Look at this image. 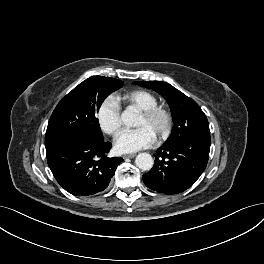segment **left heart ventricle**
Wrapping results in <instances>:
<instances>
[{"mask_svg":"<svg viewBox=\"0 0 264 264\" xmlns=\"http://www.w3.org/2000/svg\"><path fill=\"white\" fill-rule=\"evenodd\" d=\"M162 126L160 120H148L144 116L140 115L137 127H147L155 136L158 134Z\"/></svg>","mask_w":264,"mask_h":264,"instance_id":"obj_1","label":"left heart ventricle"}]
</instances>
